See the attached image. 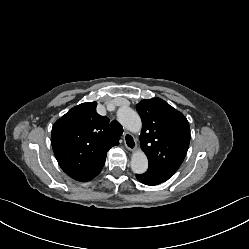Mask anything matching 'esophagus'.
Here are the masks:
<instances>
[{"instance_id":"obj_1","label":"esophagus","mask_w":249,"mask_h":249,"mask_svg":"<svg viewBox=\"0 0 249 249\" xmlns=\"http://www.w3.org/2000/svg\"><path fill=\"white\" fill-rule=\"evenodd\" d=\"M123 139H124V144L128 150L133 151L136 149L137 144L132 134L125 133Z\"/></svg>"}]
</instances>
